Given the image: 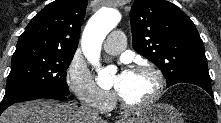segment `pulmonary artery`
<instances>
[{"instance_id": "1", "label": "pulmonary artery", "mask_w": 221, "mask_h": 123, "mask_svg": "<svg viewBox=\"0 0 221 123\" xmlns=\"http://www.w3.org/2000/svg\"><path fill=\"white\" fill-rule=\"evenodd\" d=\"M125 36L122 31H113L103 44L104 50L112 55L119 54L125 49Z\"/></svg>"}]
</instances>
